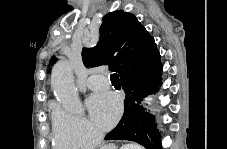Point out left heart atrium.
<instances>
[{
  "mask_svg": "<svg viewBox=\"0 0 227 149\" xmlns=\"http://www.w3.org/2000/svg\"><path fill=\"white\" fill-rule=\"evenodd\" d=\"M87 106L92 120L101 129L112 127L121 115V100L111 92L91 95Z\"/></svg>",
  "mask_w": 227,
  "mask_h": 149,
  "instance_id": "obj_1",
  "label": "left heart atrium"
}]
</instances>
